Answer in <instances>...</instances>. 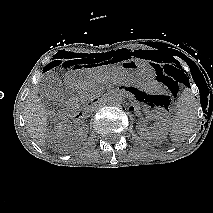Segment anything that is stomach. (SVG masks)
Returning <instances> with one entry per match:
<instances>
[{
    "label": "stomach",
    "mask_w": 213,
    "mask_h": 213,
    "mask_svg": "<svg viewBox=\"0 0 213 213\" xmlns=\"http://www.w3.org/2000/svg\"><path fill=\"white\" fill-rule=\"evenodd\" d=\"M117 76L123 80L135 82L138 86L144 88L154 80L155 71L144 60H128L122 64L111 66H95L90 70H82L70 73L67 76V81L70 84L82 86L92 80L99 78Z\"/></svg>",
    "instance_id": "stomach-1"
}]
</instances>
